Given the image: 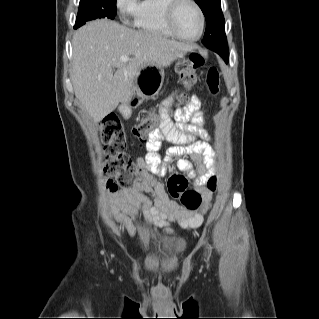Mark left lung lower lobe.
<instances>
[{
    "instance_id": "left-lung-lower-lobe-1",
    "label": "left lung lower lobe",
    "mask_w": 319,
    "mask_h": 319,
    "mask_svg": "<svg viewBox=\"0 0 319 319\" xmlns=\"http://www.w3.org/2000/svg\"><path fill=\"white\" fill-rule=\"evenodd\" d=\"M224 57H225V62L227 63L228 62V58H229V52L225 53Z\"/></svg>"
}]
</instances>
